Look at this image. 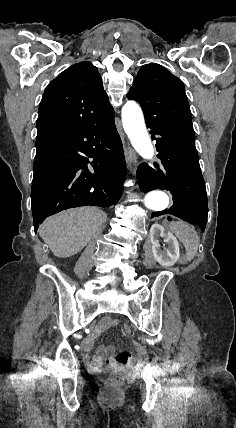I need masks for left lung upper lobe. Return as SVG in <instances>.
<instances>
[{
    "instance_id": "1",
    "label": "left lung upper lobe",
    "mask_w": 236,
    "mask_h": 428,
    "mask_svg": "<svg viewBox=\"0 0 236 428\" xmlns=\"http://www.w3.org/2000/svg\"><path fill=\"white\" fill-rule=\"evenodd\" d=\"M142 107L146 123H162L195 139L183 82L156 63L143 65L127 94Z\"/></svg>"
}]
</instances>
